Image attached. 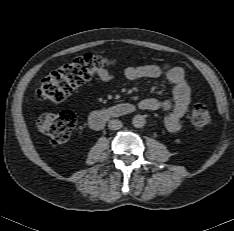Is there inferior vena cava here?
Instances as JSON below:
<instances>
[{"label": "inferior vena cava", "instance_id": "1", "mask_svg": "<svg viewBox=\"0 0 234 231\" xmlns=\"http://www.w3.org/2000/svg\"><path fill=\"white\" fill-rule=\"evenodd\" d=\"M123 124L120 120L118 119H113L109 121L108 127L111 130H118L120 128H122Z\"/></svg>", "mask_w": 234, "mask_h": 231}]
</instances>
